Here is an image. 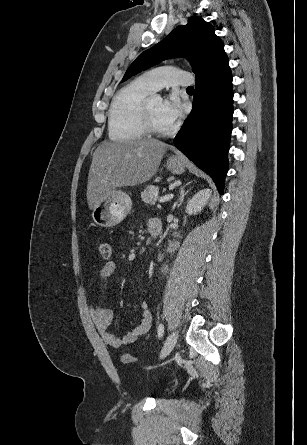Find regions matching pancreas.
<instances>
[{"instance_id":"pancreas-1","label":"pancreas","mask_w":307,"mask_h":445,"mask_svg":"<svg viewBox=\"0 0 307 445\" xmlns=\"http://www.w3.org/2000/svg\"><path fill=\"white\" fill-rule=\"evenodd\" d=\"M158 186H147L144 188L143 192H141V198L143 202H149V204H155V200H157V196H155V192H158Z\"/></svg>"}]
</instances>
